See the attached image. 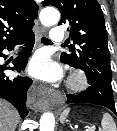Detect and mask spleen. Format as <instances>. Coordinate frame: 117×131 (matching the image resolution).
I'll list each match as a JSON object with an SVG mask.
<instances>
[{
    "instance_id": "1",
    "label": "spleen",
    "mask_w": 117,
    "mask_h": 131,
    "mask_svg": "<svg viewBox=\"0 0 117 131\" xmlns=\"http://www.w3.org/2000/svg\"><path fill=\"white\" fill-rule=\"evenodd\" d=\"M69 111H70L69 108H67L63 111V113L61 114V118H60L61 122H63L65 120V118L69 114ZM101 126L103 128V131H117L116 124H115L112 116L106 112L103 113Z\"/></svg>"
}]
</instances>
